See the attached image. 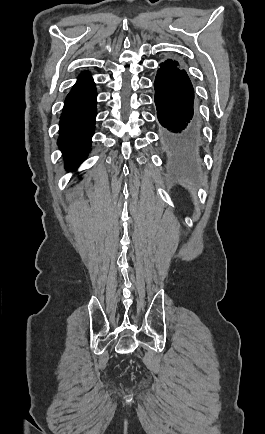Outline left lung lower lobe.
<instances>
[{
    "label": "left lung lower lobe",
    "mask_w": 265,
    "mask_h": 434,
    "mask_svg": "<svg viewBox=\"0 0 265 434\" xmlns=\"http://www.w3.org/2000/svg\"><path fill=\"white\" fill-rule=\"evenodd\" d=\"M154 88L162 147L175 154L198 153L204 139L194 109V89L186 71L176 60H165L157 71Z\"/></svg>",
    "instance_id": "1"
}]
</instances>
